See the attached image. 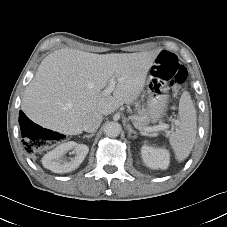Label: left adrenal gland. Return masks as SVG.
I'll return each mask as SVG.
<instances>
[{"label": "left adrenal gland", "mask_w": 227, "mask_h": 227, "mask_svg": "<svg viewBox=\"0 0 227 227\" xmlns=\"http://www.w3.org/2000/svg\"><path fill=\"white\" fill-rule=\"evenodd\" d=\"M126 127H127L128 131H129V133H128L129 137H132L133 139H136V137H137L136 131H134L129 124ZM132 134H133V136H132Z\"/></svg>", "instance_id": "1"}]
</instances>
